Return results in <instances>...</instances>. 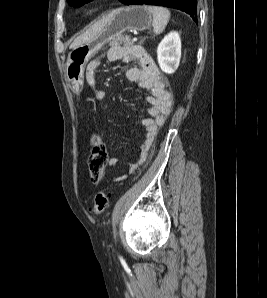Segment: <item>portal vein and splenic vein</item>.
Returning a JSON list of instances; mask_svg holds the SVG:
<instances>
[{
	"mask_svg": "<svg viewBox=\"0 0 267 298\" xmlns=\"http://www.w3.org/2000/svg\"><path fill=\"white\" fill-rule=\"evenodd\" d=\"M133 41H137V39H136V38H134V39H133Z\"/></svg>",
	"mask_w": 267,
	"mask_h": 298,
	"instance_id": "1",
	"label": "portal vein and splenic vein"
}]
</instances>
